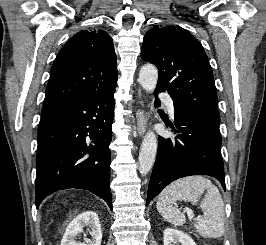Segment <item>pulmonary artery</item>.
<instances>
[{
  "mask_svg": "<svg viewBox=\"0 0 266 245\" xmlns=\"http://www.w3.org/2000/svg\"><path fill=\"white\" fill-rule=\"evenodd\" d=\"M166 108L169 114L173 117L174 116V103L171 98L165 100Z\"/></svg>",
  "mask_w": 266,
  "mask_h": 245,
  "instance_id": "pulmonary-artery-1",
  "label": "pulmonary artery"
}]
</instances>
